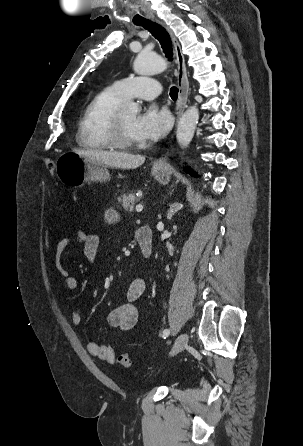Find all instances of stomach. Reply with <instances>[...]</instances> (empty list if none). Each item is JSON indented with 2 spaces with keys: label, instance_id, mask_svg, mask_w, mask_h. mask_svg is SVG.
<instances>
[{
  "label": "stomach",
  "instance_id": "1",
  "mask_svg": "<svg viewBox=\"0 0 303 446\" xmlns=\"http://www.w3.org/2000/svg\"><path fill=\"white\" fill-rule=\"evenodd\" d=\"M56 175L65 185L79 188L88 181L105 182L110 179L107 166L92 162L74 152L61 154L55 164ZM151 174L161 184L170 180L165 167H153Z\"/></svg>",
  "mask_w": 303,
  "mask_h": 446
}]
</instances>
